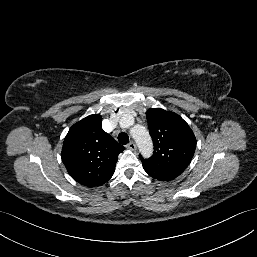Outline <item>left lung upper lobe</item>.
<instances>
[{
  "label": "left lung upper lobe",
  "instance_id": "1",
  "mask_svg": "<svg viewBox=\"0 0 257 257\" xmlns=\"http://www.w3.org/2000/svg\"><path fill=\"white\" fill-rule=\"evenodd\" d=\"M146 117L155 151L147 160L140 155L143 167L155 179L173 180L192 160L196 148L194 133L174 112L151 108Z\"/></svg>",
  "mask_w": 257,
  "mask_h": 257
}]
</instances>
